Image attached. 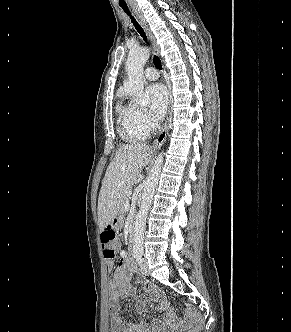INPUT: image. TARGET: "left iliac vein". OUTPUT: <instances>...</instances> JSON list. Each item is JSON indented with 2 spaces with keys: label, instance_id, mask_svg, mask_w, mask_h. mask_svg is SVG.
<instances>
[{
  "label": "left iliac vein",
  "instance_id": "1",
  "mask_svg": "<svg viewBox=\"0 0 291 332\" xmlns=\"http://www.w3.org/2000/svg\"><path fill=\"white\" fill-rule=\"evenodd\" d=\"M140 271L141 273H143L144 275H148L149 271H148V263L147 260L144 259L143 262L140 264Z\"/></svg>",
  "mask_w": 291,
  "mask_h": 332
}]
</instances>
